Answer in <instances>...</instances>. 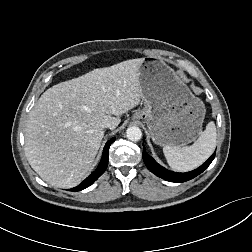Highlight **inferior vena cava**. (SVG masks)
<instances>
[{"label":"inferior vena cava","mask_w":252,"mask_h":252,"mask_svg":"<svg viewBox=\"0 0 252 252\" xmlns=\"http://www.w3.org/2000/svg\"><path fill=\"white\" fill-rule=\"evenodd\" d=\"M101 128L104 129V128H109V129H113L114 126L111 122L109 121H104L102 124H101Z\"/></svg>","instance_id":"inferior-vena-cava-1"}]
</instances>
